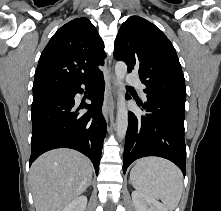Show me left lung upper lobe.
I'll return each instance as SVG.
<instances>
[{
    "label": "left lung upper lobe",
    "mask_w": 221,
    "mask_h": 211,
    "mask_svg": "<svg viewBox=\"0 0 221 211\" xmlns=\"http://www.w3.org/2000/svg\"><path fill=\"white\" fill-rule=\"evenodd\" d=\"M114 57L128 72L137 71L147 96L166 95L185 99V79L172 43L149 21L129 17L115 39Z\"/></svg>",
    "instance_id": "left-lung-upper-lobe-1"
}]
</instances>
